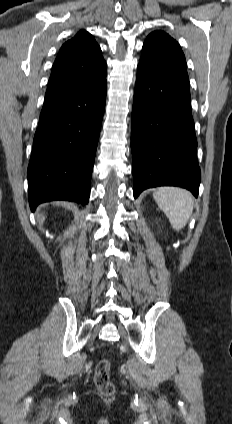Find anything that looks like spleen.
Wrapping results in <instances>:
<instances>
[{"instance_id":"spleen-1","label":"spleen","mask_w":232,"mask_h":424,"mask_svg":"<svg viewBox=\"0 0 232 424\" xmlns=\"http://www.w3.org/2000/svg\"><path fill=\"white\" fill-rule=\"evenodd\" d=\"M158 207L176 231L185 227L194 207L191 193L179 187H160L153 193Z\"/></svg>"}]
</instances>
